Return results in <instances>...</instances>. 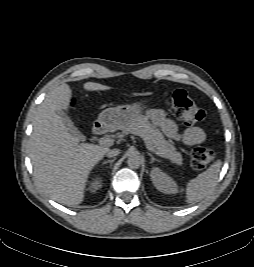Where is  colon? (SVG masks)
<instances>
[{
  "label": "colon",
  "mask_w": 254,
  "mask_h": 267,
  "mask_svg": "<svg viewBox=\"0 0 254 267\" xmlns=\"http://www.w3.org/2000/svg\"><path fill=\"white\" fill-rule=\"evenodd\" d=\"M171 105L175 115L191 125L205 119V112L199 108L185 90H175L171 95ZM214 152L203 146L191 151V166L196 170L206 168L214 160Z\"/></svg>",
  "instance_id": "colon-1"
}]
</instances>
